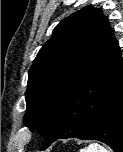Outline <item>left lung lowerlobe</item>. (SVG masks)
Listing matches in <instances>:
<instances>
[{"label": "left lung lower lobe", "instance_id": "left-lung-lower-lobe-1", "mask_svg": "<svg viewBox=\"0 0 123 152\" xmlns=\"http://www.w3.org/2000/svg\"><path fill=\"white\" fill-rule=\"evenodd\" d=\"M71 137L123 152V62L115 38L58 106L41 150Z\"/></svg>", "mask_w": 123, "mask_h": 152}]
</instances>
